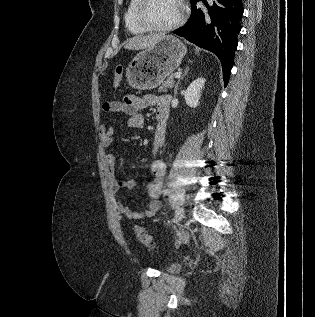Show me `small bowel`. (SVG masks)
Instances as JSON below:
<instances>
[{"mask_svg":"<svg viewBox=\"0 0 315 317\" xmlns=\"http://www.w3.org/2000/svg\"><path fill=\"white\" fill-rule=\"evenodd\" d=\"M170 97L168 95L156 96L147 94L142 97L128 95L122 101H111L103 105V110L108 113H122L128 115L127 124L130 128L141 129L144 127V117L142 110L147 107H155L157 125L155 129V144L152 150V157L149 169L153 174V180L147 184L146 189L150 197L148 207L143 211H134L123 202L117 200L115 204L118 214L130 220H140L153 217L161 208L160 196L164 187V177L166 174V163L157 158L160 146L166 134V121L169 116ZM114 130L111 126H102L99 140L100 143L109 147L114 143ZM116 158L113 154L105 155V164L111 177V192L116 195L120 190H131L135 187L133 179L117 180L114 177Z\"/></svg>","mask_w":315,"mask_h":317,"instance_id":"obj_1","label":"small bowel"}]
</instances>
